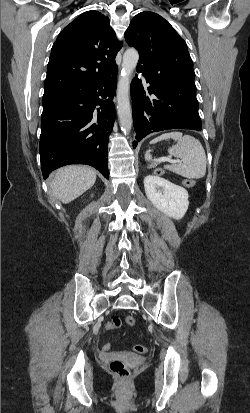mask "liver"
<instances>
[{"label":"liver","instance_id":"6515ba94","mask_svg":"<svg viewBox=\"0 0 250 413\" xmlns=\"http://www.w3.org/2000/svg\"><path fill=\"white\" fill-rule=\"evenodd\" d=\"M95 181L96 172L93 169L87 166L70 165L55 172L50 187L53 195L67 204L90 189Z\"/></svg>","mask_w":250,"mask_h":413}]
</instances>
